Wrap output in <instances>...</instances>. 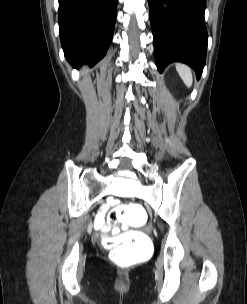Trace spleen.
I'll return each mask as SVG.
<instances>
[{
  "mask_svg": "<svg viewBox=\"0 0 247 304\" xmlns=\"http://www.w3.org/2000/svg\"><path fill=\"white\" fill-rule=\"evenodd\" d=\"M176 70L187 87L192 86V70L185 64L177 63Z\"/></svg>",
  "mask_w": 247,
  "mask_h": 304,
  "instance_id": "obj_1",
  "label": "spleen"
}]
</instances>
